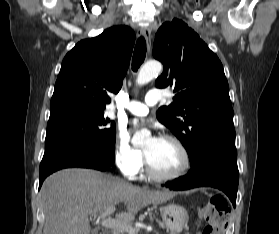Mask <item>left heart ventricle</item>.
<instances>
[{
	"label": "left heart ventricle",
	"mask_w": 279,
	"mask_h": 234,
	"mask_svg": "<svg viewBox=\"0 0 279 234\" xmlns=\"http://www.w3.org/2000/svg\"><path fill=\"white\" fill-rule=\"evenodd\" d=\"M144 150L148 155L151 166L159 174H174L182 166V154L179 148L170 141L149 139L144 146Z\"/></svg>",
	"instance_id": "1"
}]
</instances>
